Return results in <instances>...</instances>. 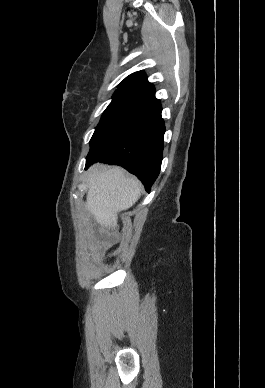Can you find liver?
I'll return each mask as SVG.
<instances>
[{
  "instance_id": "liver-1",
  "label": "liver",
  "mask_w": 265,
  "mask_h": 388,
  "mask_svg": "<svg viewBox=\"0 0 265 388\" xmlns=\"http://www.w3.org/2000/svg\"><path fill=\"white\" fill-rule=\"evenodd\" d=\"M85 208L95 216L98 224L114 230L118 212L132 208L137 202L142 184L118 166H91L87 178Z\"/></svg>"
}]
</instances>
